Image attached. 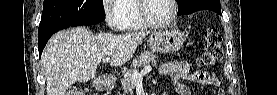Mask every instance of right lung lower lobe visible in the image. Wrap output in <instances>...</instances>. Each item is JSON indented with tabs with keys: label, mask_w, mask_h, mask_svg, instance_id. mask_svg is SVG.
I'll use <instances>...</instances> for the list:
<instances>
[{
	"label": "right lung lower lobe",
	"mask_w": 277,
	"mask_h": 95,
	"mask_svg": "<svg viewBox=\"0 0 277 95\" xmlns=\"http://www.w3.org/2000/svg\"><path fill=\"white\" fill-rule=\"evenodd\" d=\"M93 24H96V23H85L82 25H93ZM74 26H81V25H54V26H50L48 28L39 30V32H38L39 56H41V53H42L47 41L55 32H57L61 29H64V28L74 27Z\"/></svg>",
	"instance_id": "1"
}]
</instances>
